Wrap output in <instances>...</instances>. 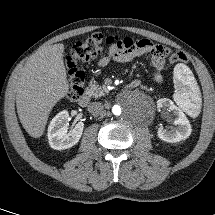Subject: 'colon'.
<instances>
[{
    "instance_id": "5ec220e1",
    "label": "colon",
    "mask_w": 215,
    "mask_h": 215,
    "mask_svg": "<svg viewBox=\"0 0 215 215\" xmlns=\"http://www.w3.org/2000/svg\"><path fill=\"white\" fill-rule=\"evenodd\" d=\"M107 44V38L102 34L96 33L85 40L77 42L66 58L68 70V94L70 101H76L83 93V72L78 69V63L88 61L100 54ZM171 63H183L186 56L182 52H170L163 50Z\"/></svg>"
}]
</instances>
